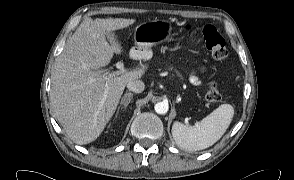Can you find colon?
<instances>
[{"mask_svg":"<svg viewBox=\"0 0 294 180\" xmlns=\"http://www.w3.org/2000/svg\"><path fill=\"white\" fill-rule=\"evenodd\" d=\"M203 39L207 48L211 51L212 56L217 60H226L229 53L225 47L224 40L217 32L215 27L207 25L202 30ZM219 98L218 86L215 82H211L205 94V99L209 102H215Z\"/></svg>","mask_w":294,"mask_h":180,"instance_id":"1","label":"colon"}]
</instances>
